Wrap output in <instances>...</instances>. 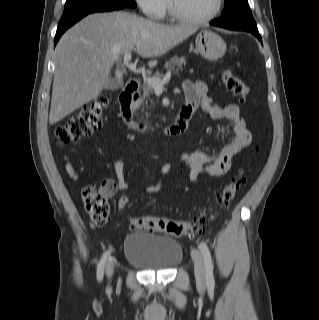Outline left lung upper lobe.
<instances>
[{
	"label": "left lung upper lobe",
	"mask_w": 319,
	"mask_h": 320,
	"mask_svg": "<svg viewBox=\"0 0 319 320\" xmlns=\"http://www.w3.org/2000/svg\"><path fill=\"white\" fill-rule=\"evenodd\" d=\"M230 15H244L252 17L249 10L248 0H225L222 17Z\"/></svg>",
	"instance_id": "1"
}]
</instances>
